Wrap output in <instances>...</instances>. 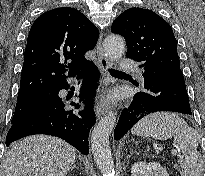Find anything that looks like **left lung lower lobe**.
<instances>
[{"label": "left lung lower lobe", "mask_w": 205, "mask_h": 176, "mask_svg": "<svg viewBox=\"0 0 205 176\" xmlns=\"http://www.w3.org/2000/svg\"><path fill=\"white\" fill-rule=\"evenodd\" d=\"M143 77V91L136 93L132 102L123 109L114 131L115 140L154 112L173 111L192 115L181 69L161 70L143 74Z\"/></svg>", "instance_id": "left-lung-lower-lobe-1"}]
</instances>
